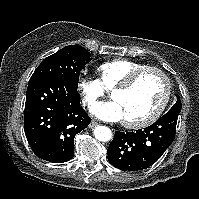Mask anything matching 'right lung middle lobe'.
Listing matches in <instances>:
<instances>
[{"label":"right lung middle lobe","mask_w":199,"mask_h":199,"mask_svg":"<svg viewBox=\"0 0 199 199\" xmlns=\"http://www.w3.org/2000/svg\"><path fill=\"white\" fill-rule=\"evenodd\" d=\"M90 61V53L85 48L69 45L45 58L31 78L58 76L77 88L80 71Z\"/></svg>","instance_id":"1"}]
</instances>
